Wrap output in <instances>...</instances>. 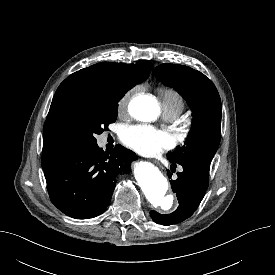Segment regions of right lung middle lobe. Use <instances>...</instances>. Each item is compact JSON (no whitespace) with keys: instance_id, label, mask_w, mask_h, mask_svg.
Here are the masks:
<instances>
[{"instance_id":"obj_1","label":"right lung middle lobe","mask_w":275,"mask_h":275,"mask_svg":"<svg viewBox=\"0 0 275 275\" xmlns=\"http://www.w3.org/2000/svg\"><path fill=\"white\" fill-rule=\"evenodd\" d=\"M118 100L68 102L55 114L56 122L71 145L85 149L97 145L96 134L106 131L117 118Z\"/></svg>"}]
</instances>
